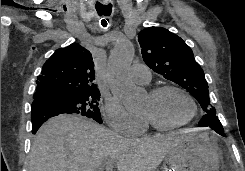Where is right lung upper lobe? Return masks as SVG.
Instances as JSON below:
<instances>
[{
    "instance_id": "1",
    "label": "right lung upper lobe",
    "mask_w": 245,
    "mask_h": 171,
    "mask_svg": "<svg viewBox=\"0 0 245 171\" xmlns=\"http://www.w3.org/2000/svg\"><path fill=\"white\" fill-rule=\"evenodd\" d=\"M94 81L91 53L78 43H73L57 49L44 63L41 75L37 77L33 102L46 100L52 95L99 93Z\"/></svg>"
}]
</instances>
